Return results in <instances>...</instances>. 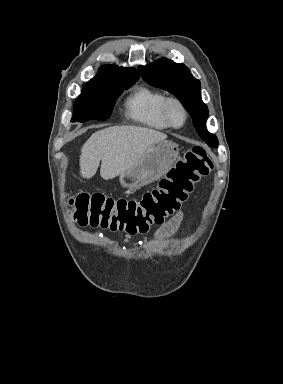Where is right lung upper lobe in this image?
<instances>
[{"label": "right lung upper lobe", "mask_w": 283, "mask_h": 384, "mask_svg": "<svg viewBox=\"0 0 283 384\" xmlns=\"http://www.w3.org/2000/svg\"><path fill=\"white\" fill-rule=\"evenodd\" d=\"M138 78V72L134 68L118 67L117 65H105L99 68L97 75L87 82L84 85V88L114 83L135 82Z\"/></svg>", "instance_id": "1"}]
</instances>
